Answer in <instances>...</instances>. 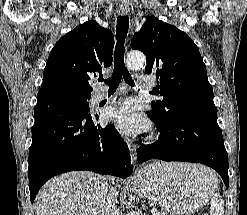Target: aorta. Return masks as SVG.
I'll list each match as a JSON object with an SVG mask.
<instances>
[{
    "instance_id": "762f6f07",
    "label": "aorta",
    "mask_w": 247,
    "mask_h": 215,
    "mask_svg": "<svg viewBox=\"0 0 247 215\" xmlns=\"http://www.w3.org/2000/svg\"><path fill=\"white\" fill-rule=\"evenodd\" d=\"M146 63V57L143 53L133 51L127 56V64L132 69H139Z\"/></svg>"
}]
</instances>
